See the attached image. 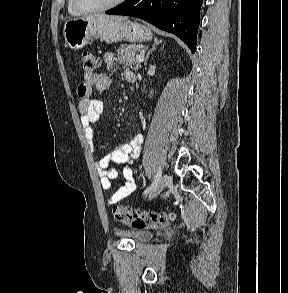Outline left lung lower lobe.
I'll use <instances>...</instances> for the list:
<instances>
[{
	"label": "left lung lower lobe",
	"mask_w": 288,
	"mask_h": 293,
	"mask_svg": "<svg viewBox=\"0 0 288 293\" xmlns=\"http://www.w3.org/2000/svg\"><path fill=\"white\" fill-rule=\"evenodd\" d=\"M203 0H126L106 14L141 18L173 33L196 51L200 8Z\"/></svg>",
	"instance_id": "left-lung-lower-lobe-1"
}]
</instances>
